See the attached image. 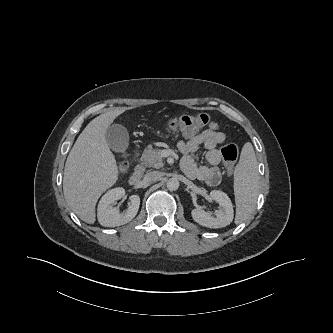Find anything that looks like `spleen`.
<instances>
[{
  "mask_svg": "<svg viewBox=\"0 0 333 333\" xmlns=\"http://www.w3.org/2000/svg\"><path fill=\"white\" fill-rule=\"evenodd\" d=\"M259 193L258 164L250 142L242 148L240 160L234 171V195L236 203L235 223L245 221L256 206Z\"/></svg>",
  "mask_w": 333,
  "mask_h": 333,
  "instance_id": "3e777b00",
  "label": "spleen"
}]
</instances>
